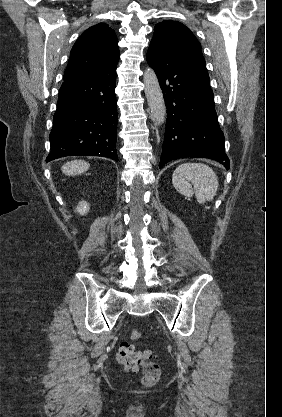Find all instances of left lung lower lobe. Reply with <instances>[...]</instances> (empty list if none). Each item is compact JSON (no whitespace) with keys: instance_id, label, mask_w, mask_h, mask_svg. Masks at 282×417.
Listing matches in <instances>:
<instances>
[{"instance_id":"0a47b994","label":"left lung lower lobe","mask_w":282,"mask_h":417,"mask_svg":"<svg viewBox=\"0 0 282 417\" xmlns=\"http://www.w3.org/2000/svg\"><path fill=\"white\" fill-rule=\"evenodd\" d=\"M146 59L158 76L167 107L159 168L172 160L202 157L229 169L204 58L150 45Z\"/></svg>"}]
</instances>
